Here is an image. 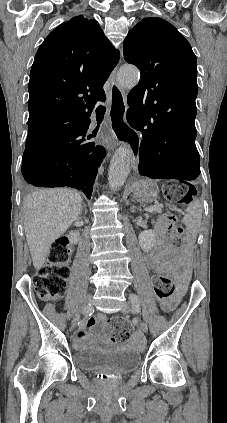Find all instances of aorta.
<instances>
[{"label": "aorta", "mask_w": 227, "mask_h": 423, "mask_svg": "<svg viewBox=\"0 0 227 423\" xmlns=\"http://www.w3.org/2000/svg\"><path fill=\"white\" fill-rule=\"evenodd\" d=\"M139 71L133 66H123L118 72V82L123 87H134L139 81ZM132 151L128 145L118 148L111 161L108 170V181L111 189L123 186L130 172Z\"/></svg>", "instance_id": "obj_1"}]
</instances>
